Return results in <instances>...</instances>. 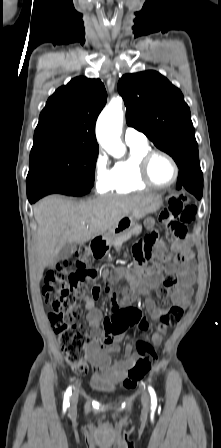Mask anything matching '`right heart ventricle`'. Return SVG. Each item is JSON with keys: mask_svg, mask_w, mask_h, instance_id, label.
I'll return each instance as SVG.
<instances>
[{"mask_svg": "<svg viewBox=\"0 0 221 448\" xmlns=\"http://www.w3.org/2000/svg\"><path fill=\"white\" fill-rule=\"evenodd\" d=\"M130 155L127 159L119 161L113 168V181L111 190L115 193H130L148 187L139 177V161L141 157L151 150L148 143L131 145Z\"/></svg>", "mask_w": 221, "mask_h": 448, "instance_id": "obj_1", "label": "right heart ventricle"}]
</instances>
